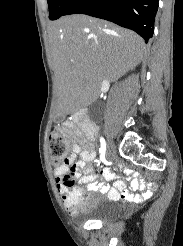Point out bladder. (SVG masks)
I'll use <instances>...</instances> for the list:
<instances>
[{"label": "bladder", "instance_id": "1", "mask_svg": "<svg viewBox=\"0 0 183 246\" xmlns=\"http://www.w3.org/2000/svg\"><path fill=\"white\" fill-rule=\"evenodd\" d=\"M121 206L107 200H96L91 206L85 218L88 220H111L120 215Z\"/></svg>", "mask_w": 183, "mask_h": 246}]
</instances>
